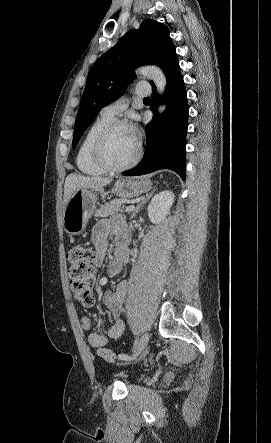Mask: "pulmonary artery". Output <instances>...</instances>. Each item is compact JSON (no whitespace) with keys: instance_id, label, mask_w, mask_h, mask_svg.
I'll list each match as a JSON object with an SVG mask.
<instances>
[{"instance_id":"e3ab8cb5","label":"pulmonary artery","mask_w":271,"mask_h":443,"mask_svg":"<svg viewBox=\"0 0 271 443\" xmlns=\"http://www.w3.org/2000/svg\"><path fill=\"white\" fill-rule=\"evenodd\" d=\"M136 93L139 96H145L148 93L140 90H136ZM127 106V100L125 98H121L105 107L102 108L101 114L102 115H108V116H114L121 110H123Z\"/></svg>"}]
</instances>
